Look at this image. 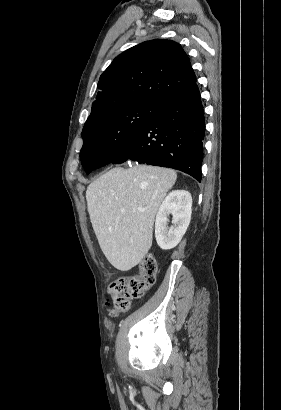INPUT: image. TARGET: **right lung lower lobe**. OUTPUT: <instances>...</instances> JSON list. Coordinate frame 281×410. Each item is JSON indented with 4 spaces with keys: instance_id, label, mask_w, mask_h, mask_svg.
Segmentation results:
<instances>
[{
    "instance_id": "1",
    "label": "right lung lower lobe",
    "mask_w": 281,
    "mask_h": 410,
    "mask_svg": "<svg viewBox=\"0 0 281 410\" xmlns=\"http://www.w3.org/2000/svg\"><path fill=\"white\" fill-rule=\"evenodd\" d=\"M205 117L199 88L168 100L112 163L137 161L183 171L199 182Z\"/></svg>"
}]
</instances>
